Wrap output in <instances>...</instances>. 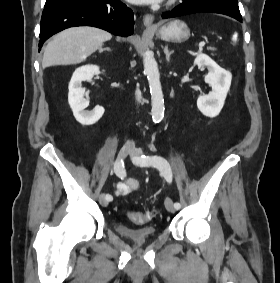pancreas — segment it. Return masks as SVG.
Masks as SVG:
<instances>
[{"label": "pancreas", "instance_id": "cf45deb5", "mask_svg": "<svg viewBox=\"0 0 280 283\" xmlns=\"http://www.w3.org/2000/svg\"><path fill=\"white\" fill-rule=\"evenodd\" d=\"M208 50L215 51L216 49L213 47H209Z\"/></svg>", "mask_w": 280, "mask_h": 283}]
</instances>
